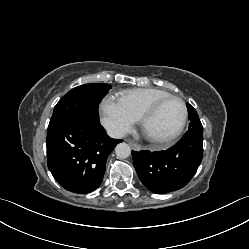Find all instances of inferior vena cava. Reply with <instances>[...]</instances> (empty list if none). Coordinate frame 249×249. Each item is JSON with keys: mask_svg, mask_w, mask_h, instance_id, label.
Wrapping results in <instances>:
<instances>
[{"mask_svg": "<svg viewBox=\"0 0 249 249\" xmlns=\"http://www.w3.org/2000/svg\"><path fill=\"white\" fill-rule=\"evenodd\" d=\"M107 134L111 138L119 139L126 135V131L118 126L112 125L107 127Z\"/></svg>", "mask_w": 249, "mask_h": 249, "instance_id": "1", "label": "inferior vena cava"}]
</instances>
